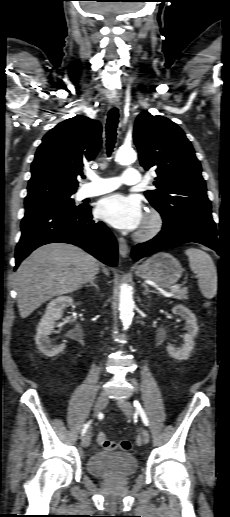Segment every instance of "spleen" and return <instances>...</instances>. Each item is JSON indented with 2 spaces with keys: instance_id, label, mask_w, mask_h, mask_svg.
<instances>
[{
  "instance_id": "obj_1",
  "label": "spleen",
  "mask_w": 230,
  "mask_h": 517,
  "mask_svg": "<svg viewBox=\"0 0 230 517\" xmlns=\"http://www.w3.org/2000/svg\"><path fill=\"white\" fill-rule=\"evenodd\" d=\"M189 257V266L198 276V285L204 297L211 299L217 293V271L212 258L196 248L185 250Z\"/></svg>"
}]
</instances>
